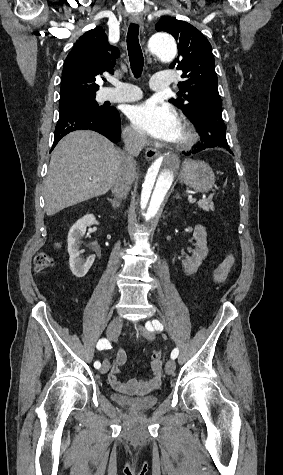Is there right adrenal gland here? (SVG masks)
I'll return each instance as SVG.
<instances>
[{
	"label": "right adrenal gland",
	"instance_id": "2a0ac1e0",
	"mask_svg": "<svg viewBox=\"0 0 283 475\" xmlns=\"http://www.w3.org/2000/svg\"><path fill=\"white\" fill-rule=\"evenodd\" d=\"M107 200L110 202L112 208H119L120 200H110V198H107Z\"/></svg>",
	"mask_w": 283,
	"mask_h": 475
}]
</instances>
